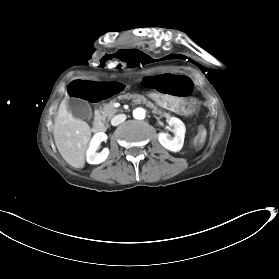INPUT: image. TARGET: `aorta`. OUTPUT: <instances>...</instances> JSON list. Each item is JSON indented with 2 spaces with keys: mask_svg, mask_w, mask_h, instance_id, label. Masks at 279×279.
<instances>
[{
  "mask_svg": "<svg viewBox=\"0 0 279 279\" xmlns=\"http://www.w3.org/2000/svg\"><path fill=\"white\" fill-rule=\"evenodd\" d=\"M133 117L135 119H144L145 118V110L143 108H136L133 111Z\"/></svg>",
  "mask_w": 279,
  "mask_h": 279,
  "instance_id": "aorta-1",
  "label": "aorta"
}]
</instances>
